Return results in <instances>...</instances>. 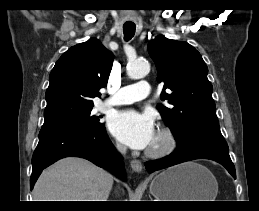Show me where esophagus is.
I'll return each instance as SVG.
<instances>
[{
    "label": "esophagus",
    "mask_w": 259,
    "mask_h": 211,
    "mask_svg": "<svg viewBox=\"0 0 259 211\" xmlns=\"http://www.w3.org/2000/svg\"><path fill=\"white\" fill-rule=\"evenodd\" d=\"M131 168L133 171L140 173L142 171V163L139 160L131 161Z\"/></svg>",
    "instance_id": "obj_1"
}]
</instances>
